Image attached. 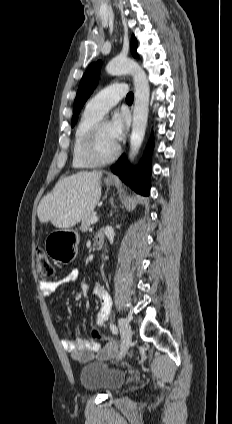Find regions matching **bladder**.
<instances>
[{
    "label": "bladder",
    "mask_w": 232,
    "mask_h": 424,
    "mask_svg": "<svg viewBox=\"0 0 232 424\" xmlns=\"http://www.w3.org/2000/svg\"><path fill=\"white\" fill-rule=\"evenodd\" d=\"M80 382L86 389L111 392L125 382V374L105 362H91L80 371Z\"/></svg>",
    "instance_id": "bladder-1"
}]
</instances>
